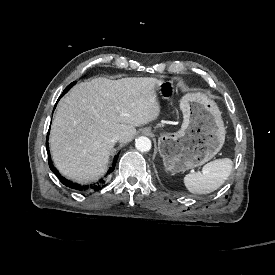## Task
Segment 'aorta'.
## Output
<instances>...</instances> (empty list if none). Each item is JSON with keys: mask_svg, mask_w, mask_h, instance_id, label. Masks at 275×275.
Segmentation results:
<instances>
[{"mask_svg": "<svg viewBox=\"0 0 275 275\" xmlns=\"http://www.w3.org/2000/svg\"><path fill=\"white\" fill-rule=\"evenodd\" d=\"M151 146V140L148 137L140 136L135 140V147L140 152H148Z\"/></svg>", "mask_w": 275, "mask_h": 275, "instance_id": "1", "label": "aorta"}]
</instances>
